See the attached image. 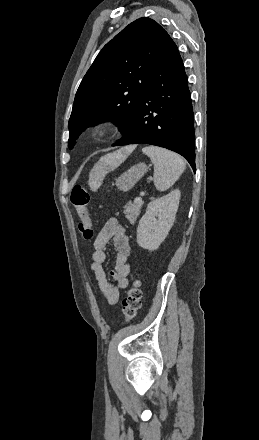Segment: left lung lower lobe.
Wrapping results in <instances>:
<instances>
[{
	"label": "left lung lower lobe",
	"instance_id": "obj_1",
	"mask_svg": "<svg viewBox=\"0 0 259 440\" xmlns=\"http://www.w3.org/2000/svg\"><path fill=\"white\" fill-rule=\"evenodd\" d=\"M150 144L182 155L195 171L194 117L184 65L169 36L123 136L112 146Z\"/></svg>",
	"mask_w": 259,
	"mask_h": 440
}]
</instances>
